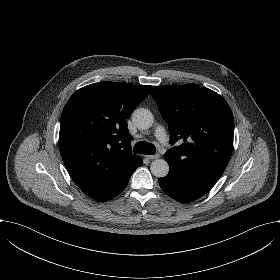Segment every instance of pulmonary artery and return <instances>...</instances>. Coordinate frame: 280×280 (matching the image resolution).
<instances>
[{"label": "pulmonary artery", "instance_id": "pulmonary-artery-1", "mask_svg": "<svg viewBox=\"0 0 280 280\" xmlns=\"http://www.w3.org/2000/svg\"><path fill=\"white\" fill-rule=\"evenodd\" d=\"M155 134H156V137L158 138V140H159L161 143H163V144H165V145L167 144L168 139H167V135H166V132H165V130H164L163 127H158V128L156 129Z\"/></svg>", "mask_w": 280, "mask_h": 280}]
</instances>
